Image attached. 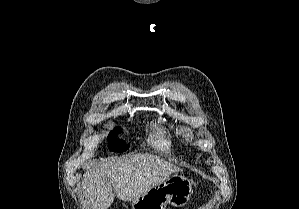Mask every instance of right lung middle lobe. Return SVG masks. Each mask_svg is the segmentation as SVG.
<instances>
[{
    "mask_svg": "<svg viewBox=\"0 0 299 209\" xmlns=\"http://www.w3.org/2000/svg\"><path fill=\"white\" fill-rule=\"evenodd\" d=\"M121 132V128L117 127L115 128L113 131L110 132L109 136H108V141H109V147L111 149H116L119 150L120 152L125 151L127 149L128 146H125V143L119 139H117L115 136Z\"/></svg>",
    "mask_w": 299,
    "mask_h": 209,
    "instance_id": "right-lung-middle-lobe-1",
    "label": "right lung middle lobe"
}]
</instances>
